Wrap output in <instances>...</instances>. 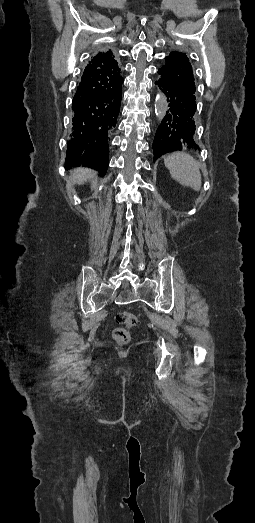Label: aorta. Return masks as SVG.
<instances>
[{
  "instance_id": "obj_1",
  "label": "aorta",
  "mask_w": 255,
  "mask_h": 523,
  "mask_svg": "<svg viewBox=\"0 0 255 523\" xmlns=\"http://www.w3.org/2000/svg\"><path fill=\"white\" fill-rule=\"evenodd\" d=\"M154 108L157 120L161 121L165 115V111L167 110L166 98L162 92L157 94L154 102Z\"/></svg>"
}]
</instances>
